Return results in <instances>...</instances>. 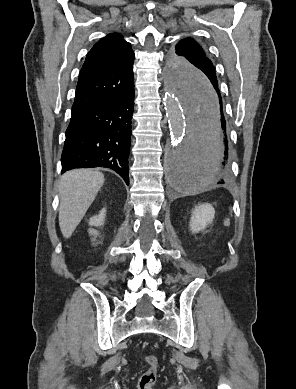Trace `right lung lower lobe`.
I'll return each mask as SVG.
<instances>
[{
    "label": "right lung lower lobe",
    "instance_id": "obj_1",
    "mask_svg": "<svg viewBox=\"0 0 296 389\" xmlns=\"http://www.w3.org/2000/svg\"><path fill=\"white\" fill-rule=\"evenodd\" d=\"M134 83L120 96L72 113L61 156L62 172L106 167L127 184Z\"/></svg>",
    "mask_w": 296,
    "mask_h": 389
}]
</instances>
